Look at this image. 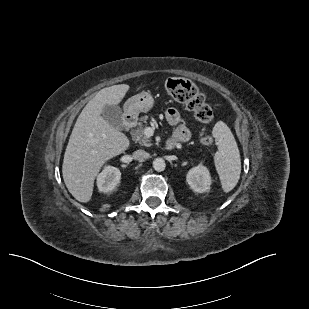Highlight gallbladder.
<instances>
[{
	"label": "gallbladder",
	"instance_id": "bac80fb5",
	"mask_svg": "<svg viewBox=\"0 0 309 309\" xmlns=\"http://www.w3.org/2000/svg\"><path fill=\"white\" fill-rule=\"evenodd\" d=\"M122 116V110L118 105H106L103 108L102 117L118 130H122L124 127Z\"/></svg>",
	"mask_w": 309,
	"mask_h": 309
}]
</instances>
